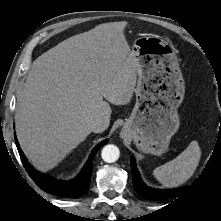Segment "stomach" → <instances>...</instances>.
Segmentation results:
<instances>
[{
	"label": "stomach",
	"instance_id": "0dacf381",
	"mask_svg": "<svg viewBox=\"0 0 221 221\" xmlns=\"http://www.w3.org/2000/svg\"><path fill=\"white\" fill-rule=\"evenodd\" d=\"M137 60L136 103L121 135L144 153L161 155L180 125L178 108L185 84L174 48L155 36L134 40Z\"/></svg>",
	"mask_w": 221,
	"mask_h": 221
}]
</instances>
